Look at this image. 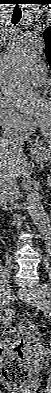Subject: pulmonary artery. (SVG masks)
<instances>
[{
	"label": "pulmonary artery",
	"mask_w": 51,
	"mask_h": 393,
	"mask_svg": "<svg viewBox=\"0 0 51 393\" xmlns=\"http://www.w3.org/2000/svg\"><path fill=\"white\" fill-rule=\"evenodd\" d=\"M28 77L31 84L35 86H41L47 80L44 68L41 65L33 67Z\"/></svg>",
	"instance_id": "pulmonary-artery-1"
}]
</instances>
